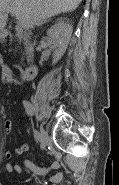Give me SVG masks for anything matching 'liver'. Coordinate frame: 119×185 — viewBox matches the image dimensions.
<instances>
[{"label": "liver", "instance_id": "liver-1", "mask_svg": "<svg viewBox=\"0 0 119 185\" xmlns=\"http://www.w3.org/2000/svg\"><path fill=\"white\" fill-rule=\"evenodd\" d=\"M82 0H0V30L12 13L23 28L41 25L48 18L75 10Z\"/></svg>", "mask_w": 119, "mask_h": 185}]
</instances>
